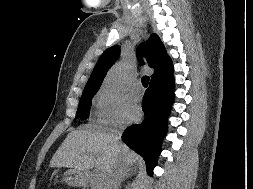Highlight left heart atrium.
Returning <instances> with one entry per match:
<instances>
[{
    "mask_svg": "<svg viewBox=\"0 0 253 189\" xmlns=\"http://www.w3.org/2000/svg\"><path fill=\"white\" fill-rule=\"evenodd\" d=\"M126 120H137L141 116V107L138 99L129 98L124 109Z\"/></svg>",
    "mask_w": 253,
    "mask_h": 189,
    "instance_id": "left-heart-atrium-1",
    "label": "left heart atrium"
}]
</instances>
